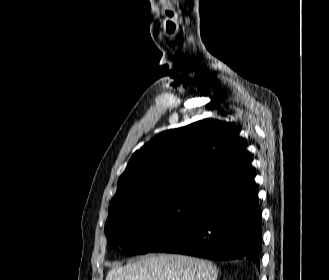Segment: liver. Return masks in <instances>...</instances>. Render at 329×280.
<instances>
[{"label": "liver", "mask_w": 329, "mask_h": 280, "mask_svg": "<svg viewBox=\"0 0 329 280\" xmlns=\"http://www.w3.org/2000/svg\"><path fill=\"white\" fill-rule=\"evenodd\" d=\"M211 262L179 254L147 255L125 266L114 265L105 280H217Z\"/></svg>", "instance_id": "6515ba94"}]
</instances>
